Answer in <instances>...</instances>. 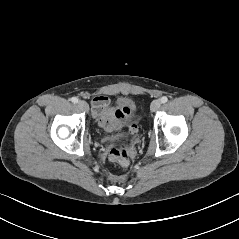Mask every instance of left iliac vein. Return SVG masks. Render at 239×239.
I'll return each instance as SVG.
<instances>
[{
	"label": "left iliac vein",
	"mask_w": 239,
	"mask_h": 239,
	"mask_svg": "<svg viewBox=\"0 0 239 239\" xmlns=\"http://www.w3.org/2000/svg\"><path fill=\"white\" fill-rule=\"evenodd\" d=\"M160 107H161V101L157 99V100H154V101L151 103L150 109H151L152 112H155V111H157Z\"/></svg>",
	"instance_id": "1"
}]
</instances>
